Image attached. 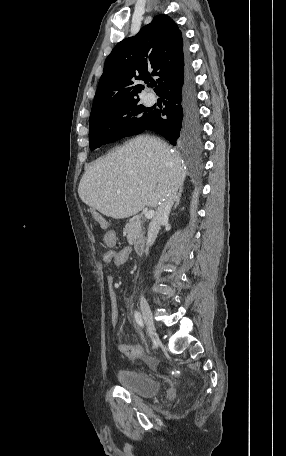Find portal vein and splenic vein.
Returning <instances> with one entry per match:
<instances>
[{
	"instance_id": "portal-vein-and-splenic-vein-1",
	"label": "portal vein and splenic vein",
	"mask_w": 286,
	"mask_h": 456,
	"mask_svg": "<svg viewBox=\"0 0 286 456\" xmlns=\"http://www.w3.org/2000/svg\"><path fill=\"white\" fill-rule=\"evenodd\" d=\"M154 216V211L153 210H148L145 212V217L146 218H152Z\"/></svg>"
}]
</instances>
